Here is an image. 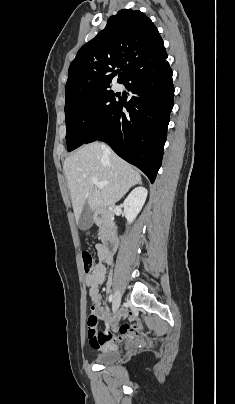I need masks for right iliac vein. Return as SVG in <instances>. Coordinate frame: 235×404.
I'll return each instance as SVG.
<instances>
[{
    "label": "right iliac vein",
    "instance_id": "1",
    "mask_svg": "<svg viewBox=\"0 0 235 404\" xmlns=\"http://www.w3.org/2000/svg\"><path fill=\"white\" fill-rule=\"evenodd\" d=\"M121 303V294L116 292L113 298V311H117Z\"/></svg>",
    "mask_w": 235,
    "mask_h": 404
}]
</instances>
